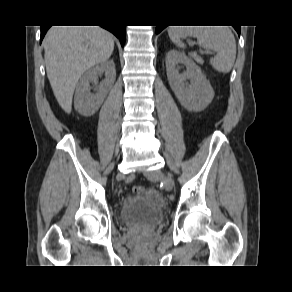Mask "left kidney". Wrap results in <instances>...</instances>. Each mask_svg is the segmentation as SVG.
<instances>
[{
  "label": "left kidney",
  "instance_id": "left-kidney-1",
  "mask_svg": "<svg viewBox=\"0 0 292 292\" xmlns=\"http://www.w3.org/2000/svg\"><path fill=\"white\" fill-rule=\"evenodd\" d=\"M179 64L186 67L183 74H179ZM166 71L171 89L188 111H202L211 103L214 90L210 82L200 67L185 54L170 50L166 54ZM186 80H190L189 85L185 84Z\"/></svg>",
  "mask_w": 292,
  "mask_h": 292
}]
</instances>
